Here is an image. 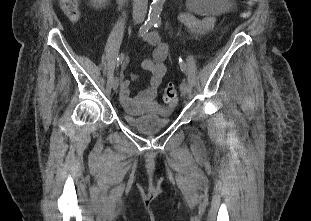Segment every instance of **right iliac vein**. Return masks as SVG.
<instances>
[{
    "label": "right iliac vein",
    "mask_w": 311,
    "mask_h": 221,
    "mask_svg": "<svg viewBox=\"0 0 311 221\" xmlns=\"http://www.w3.org/2000/svg\"><path fill=\"white\" fill-rule=\"evenodd\" d=\"M119 87V79L117 77H115L113 80H112V88L114 91H116Z\"/></svg>",
    "instance_id": "63e3f726"
}]
</instances>
